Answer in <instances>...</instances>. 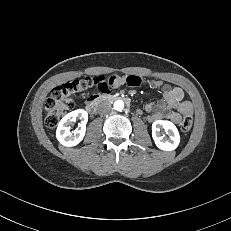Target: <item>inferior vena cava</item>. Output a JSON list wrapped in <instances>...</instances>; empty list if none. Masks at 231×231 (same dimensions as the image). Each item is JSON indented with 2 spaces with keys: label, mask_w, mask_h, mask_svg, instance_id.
I'll list each match as a JSON object with an SVG mask.
<instances>
[{
  "label": "inferior vena cava",
  "mask_w": 231,
  "mask_h": 231,
  "mask_svg": "<svg viewBox=\"0 0 231 231\" xmlns=\"http://www.w3.org/2000/svg\"><path fill=\"white\" fill-rule=\"evenodd\" d=\"M97 111L99 114H107L111 111V104L109 102H101L97 106Z\"/></svg>",
  "instance_id": "inferior-vena-cava-1"
}]
</instances>
